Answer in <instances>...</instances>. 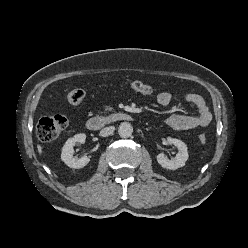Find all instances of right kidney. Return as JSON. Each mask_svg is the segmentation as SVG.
Returning a JSON list of instances; mask_svg holds the SVG:
<instances>
[{
    "instance_id": "ca27d5eb",
    "label": "right kidney",
    "mask_w": 248,
    "mask_h": 248,
    "mask_svg": "<svg viewBox=\"0 0 248 248\" xmlns=\"http://www.w3.org/2000/svg\"><path fill=\"white\" fill-rule=\"evenodd\" d=\"M86 135L84 133L76 134L72 138H69L62 148L61 159L70 168H83L86 166L90 158L83 156L81 158L73 157L74 149L73 147L77 143H84Z\"/></svg>"
}]
</instances>
